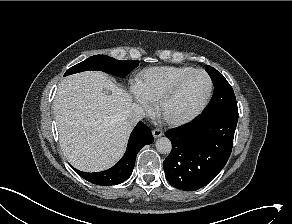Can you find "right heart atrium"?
I'll list each match as a JSON object with an SVG mask.
<instances>
[{"label": "right heart atrium", "mask_w": 292, "mask_h": 224, "mask_svg": "<svg viewBox=\"0 0 292 224\" xmlns=\"http://www.w3.org/2000/svg\"><path fill=\"white\" fill-rule=\"evenodd\" d=\"M132 95L137 103H139L143 107H148L147 100L142 96V94L137 89L132 90Z\"/></svg>", "instance_id": "d8ad5b80"}]
</instances>
